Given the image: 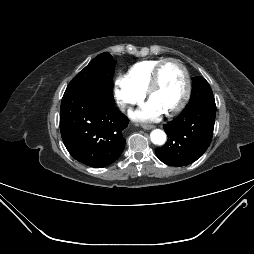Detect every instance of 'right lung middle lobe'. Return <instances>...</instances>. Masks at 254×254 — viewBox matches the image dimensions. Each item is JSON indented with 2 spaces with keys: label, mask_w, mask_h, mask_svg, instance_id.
Instances as JSON below:
<instances>
[{
  "label": "right lung middle lobe",
  "mask_w": 254,
  "mask_h": 254,
  "mask_svg": "<svg viewBox=\"0 0 254 254\" xmlns=\"http://www.w3.org/2000/svg\"><path fill=\"white\" fill-rule=\"evenodd\" d=\"M115 64L109 53L98 55L72 79L64 94H82L96 100L112 97Z\"/></svg>",
  "instance_id": "1"
}]
</instances>
